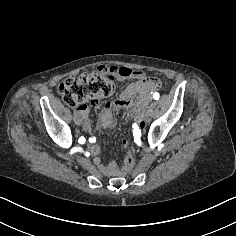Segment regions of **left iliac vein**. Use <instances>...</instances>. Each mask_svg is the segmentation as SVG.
<instances>
[{
  "instance_id": "obj_1",
  "label": "left iliac vein",
  "mask_w": 236,
  "mask_h": 236,
  "mask_svg": "<svg viewBox=\"0 0 236 236\" xmlns=\"http://www.w3.org/2000/svg\"><path fill=\"white\" fill-rule=\"evenodd\" d=\"M150 112H151V111L148 109V110L146 111V113L144 114V117H145V118H148L149 115H150Z\"/></svg>"
}]
</instances>
